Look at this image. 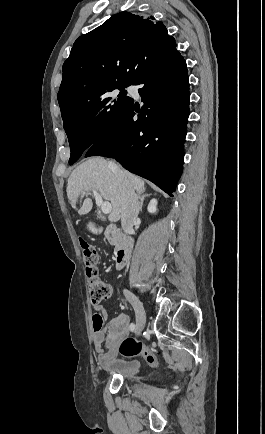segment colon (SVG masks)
<instances>
[{
    "instance_id": "obj_1",
    "label": "colon",
    "mask_w": 265,
    "mask_h": 434,
    "mask_svg": "<svg viewBox=\"0 0 265 434\" xmlns=\"http://www.w3.org/2000/svg\"><path fill=\"white\" fill-rule=\"evenodd\" d=\"M79 247L83 254L84 265L89 270L87 272V283L90 301L94 305H99L110 299L112 287L104 282L98 274L99 255L97 249L84 238H79ZM92 326H105V319L102 314L94 315ZM119 352L131 358L141 356L149 365L158 366V360L151 351L141 341L133 338L125 339L119 347Z\"/></svg>"
}]
</instances>
